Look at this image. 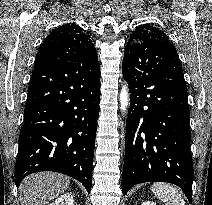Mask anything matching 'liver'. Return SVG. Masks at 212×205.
<instances>
[{
	"mask_svg": "<svg viewBox=\"0 0 212 205\" xmlns=\"http://www.w3.org/2000/svg\"><path fill=\"white\" fill-rule=\"evenodd\" d=\"M70 185L69 177L54 172H40L27 176L19 187L23 205H46L64 193Z\"/></svg>",
	"mask_w": 212,
	"mask_h": 205,
	"instance_id": "obj_1",
	"label": "liver"
}]
</instances>
